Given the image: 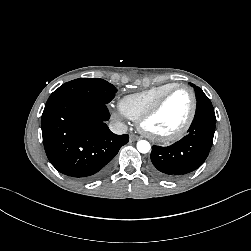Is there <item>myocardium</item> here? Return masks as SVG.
<instances>
[{
    "label": "myocardium",
    "instance_id": "myocardium-1",
    "mask_svg": "<svg viewBox=\"0 0 251 251\" xmlns=\"http://www.w3.org/2000/svg\"><path fill=\"white\" fill-rule=\"evenodd\" d=\"M187 90L190 95H191V99H192V105H191V111L190 114L187 118V120L185 121V123L182 125V127L177 130L174 133L168 134V135H156L151 133L147 128H146V122L152 118L163 106V104L165 103V101L167 100V98L174 92L178 91V90ZM196 112H197V97L196 94L194 92V90L187 86V85H175L172 88H170L169 90H167L166 92H164L138 119V128L140 129V131L143 133L144 136H146L147 138L159 142V143H171L174 141L179 140L180 138H182L190 129L195 116H196Z\"/></svg>",
    "mask_w": 251,
    "mask_h": 251
}]
</instances>
